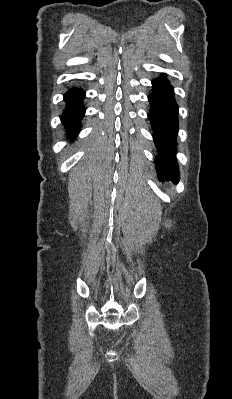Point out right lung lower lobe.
I'll use <instances>...</instances> for the list:
<instances>
[{
  "label": "right lung lower lobe",
  "instance_id": "right-lung-lower-lobe-1",
  "mask_svg": "<svg viewBox=\"0 0 232 399\" xmlns=\"http://www.w3.org/2000/svg\"><path fill=\"white\" fill-rule=\"evenodd\" d=\"M85 96L83 89H70L65 95L64 100L67 102L66 109L61 115V121L65 125L68 133L73 136L79 131L80 121L84 116L85 107L82 100Z\"/></svg>",
  "mask_w": 232,
  "mask_h": 399
}]
</instances>
